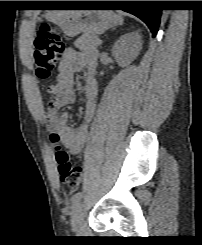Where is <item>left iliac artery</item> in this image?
<instances>
[{
    "label": "left iliac artery",
    "instance_id": "left-iliac-artery-1",
    "mask_svg": "<svg viewBox=\"0 0 202 245\" xmlns=\"http://www.w3.org/2000/svg\"><path fill=\"white\" fill-rule=\"evenodd\" d=\"M81 197H82V192L81 191H79L76 194H74L73 197H72L73 205H76L79 202Z\"/></svg>",
    "mask_w": 202,
    "mask_h": 245
}]
</instances>
